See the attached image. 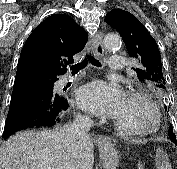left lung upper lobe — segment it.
<instances>
[{
    "instance_id": "left-lung-upper-lobe-1",
    "label": "left lung upper lobe",
    "mask_w": 177,
    "mask_h": 169,
    "mask_svg": "<svg viewBox=\"0 0 177 169\" xmlns=\"http://www.w3.org/2000/svg\"><path fill=\"white\" fill-rule=\"evenodd\" d=\"M105 22L119 32L129 56L139 61L140 68L134 69L138 78L154 90L158 96L164 97L166 83L160 53L155 39L148 30L134 15L122 9L111 10L106 15ZM168 135L175 137L171 124Z\"/></svg>"
}]
</instances>
